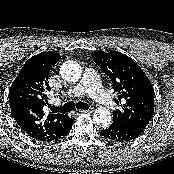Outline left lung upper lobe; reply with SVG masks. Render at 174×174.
Here are the masks:
<instances>
[{"instance_id":"5c2ea615","label":"left lung upper lobe","mask_w":174,"mask_h":174,"mask_svg":"<svg viewBox=\"0 0 174 174\" xmlns=\"http://www.w3.org/2000/svg\"><path fill=\"white\" fill-rule=\"evenodd\" d=\"M91 55L118 95L116 103L121 110L113 112V122L143 132L154 114V89L146 74L134 60L120 52L94 51Z\"/></svg>"}]
</instances>
